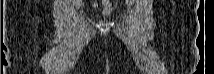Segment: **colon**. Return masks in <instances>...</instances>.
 <instances>
[{"label":"colon","mask_w":214,"mask_h":74,"mask_svg":"<svg viewBox=\"0 0 214 74\" xmlns=\"http://www.w3.org/2000/svg\"><path fill=\"white\" fill-rule=\"evenodd\" d=\"M102 3V14L103 15H108L111 13L112 11V5H111V2L108 1V0H104V1H101Z\"/></svg>","instance_id":"colon-1"}]
</instances>
